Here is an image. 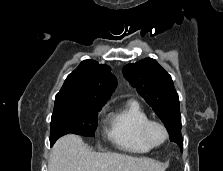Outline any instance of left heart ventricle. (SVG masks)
<instances>
[{
	"instance_id": "1",
	"label": "left heart ventricle",
	"mask_w": 223,
	"mask_h": 171,
	"mask_svg": "<svg viewBox=\"0 0 223 171\" xmlns=\"http://www.w3.org/2000/svg\"><path fill=\"white\" fill-rule=\"evenodd\" d=\"M151 137L155 142H161L164 138L163 131L159 127H153L151 130Z\"/></svg>"
}]
</instances>
